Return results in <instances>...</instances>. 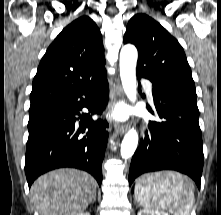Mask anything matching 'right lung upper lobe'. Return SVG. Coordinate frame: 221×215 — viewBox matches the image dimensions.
Returning <instances> with one entry per match:
<instances>
[{"label":"right lung upper lobe","mask_w":221,"mask_h":215,"mask_svg":"<svg viewBox=\"0 0 221 215\" xmlns=\"http://www.w3.org/2000/svg\"><path fill=\"white\" fill-rule=\"evenodd\" d=\"M102 35L82 16L56 37L33 79L29 111L74 94L106 75Z\"/></svg>","instance_id":"obj_1"}]
</instances>
